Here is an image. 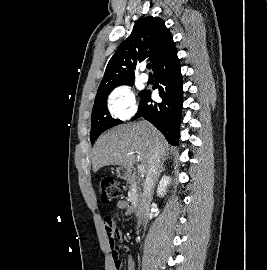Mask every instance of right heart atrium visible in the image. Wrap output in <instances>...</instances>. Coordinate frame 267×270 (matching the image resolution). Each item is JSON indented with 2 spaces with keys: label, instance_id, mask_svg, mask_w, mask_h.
Segmentation results:
<instances>
[{
  "label": "right heart atrium",
  "instance_id": "right-heart-atrium-1",
  "mask_svg": "<svg viewBox=\"0 0 267 270\" xmlns=\"http://www.w3.org/2000/svg\"><path fill=\"white\" fill-rule=\"evenodd\" d=\"M107 106L111 116L117 120L129 119L137 110L135 96L131 88L124 84L118 85L110 91Z\"/></svg>",
  "mask_w": 267,
  "mask_h": 270
}]
</instances>
